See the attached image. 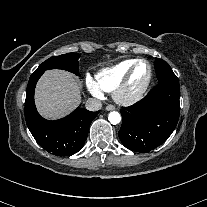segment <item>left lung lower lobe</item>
<instances>
[{
    "label": "left lung lower lobe",
    "instance_id": "obj_1",
    "mask_svg": "<svg viewBox=\"0 0 207 207\" xmlns=\"http://www.w3.org/2000/svg\"><path fill=\"white\" fill-rule=\"evenodd\" d=\"M178 78L160 81L142 100L122 107V126L119 138L135 152H149L174 131L180 111Z\"/></svg>",
    "mask_w": 207,
    "mask_h": 207
}]
</instances>
